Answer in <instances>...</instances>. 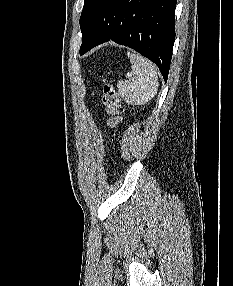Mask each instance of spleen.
<instances>
[{"label": "spleen", "mask_w": 233, "mask_h": 286, "mask_svg": "<svg viewBox=\"0 0 233 286\" xmlns=\"http://www.w3.org/2000/svg\"><path fill=\"white\" fill-rule=\"evenodd\" d=\"M127 56L132 71L126 74V80L118 81V92L127 104H146L157 94L159 86L157 67L141 55L128 52Z\"/></svg>", "instance_id": "1"}]
</instances>
